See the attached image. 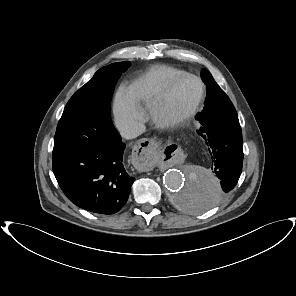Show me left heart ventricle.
<instances>
[{"label": "left heart ventricle", "instance_id": "left-heart-ventricle-1", "mask_svg": "<svg viewBox=\"0 0 296 296\" xmlns=\"http://www.w3.org/2000/svg\"><path fill=\"white\" fill-rule=\"evenodd\" d=\"M200 88L196 80L186 78L173 89L167 102L166 113L179 116L188 111L196 102Z\"/></svg>", "mask_w": 296, "mask_h": 296}]
</instances>
